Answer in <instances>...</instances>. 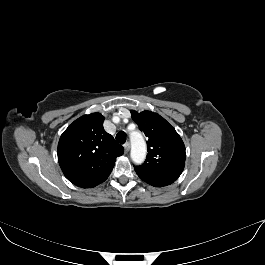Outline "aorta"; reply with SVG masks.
Instances as JSON below:
<instances>
[{"instance_id":"obj_1","label":"aorta","mask_w":265,"mask_h":265,"mask_svg":"<svg viewBox=\"0 0 265 265\" xmlns=\"http://www.w3.org/2000/svg\"><path fill=\"white\" fill-rule=\"evenodd\" d=\"M131 141V159L135 164H141L146 158V143L140 132H132L130 134Z\"/></svg>"}]
</instances>
